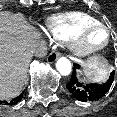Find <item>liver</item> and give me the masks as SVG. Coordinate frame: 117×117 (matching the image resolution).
I'll return each instance as SVG.
<instances>
[{
	"mask_svg": "<svg viewBox=\"0 0 117 117\" xmlns=\"http://www.w3.org/2000/svg\"><path fill=\"white\" fill-rule=\"evenodd\" d=\"M40 33L21 13L0 12V100L21 92Z\"/></svg>",
	"mask_w": 117,
	"mask_h": 117,
	"instance_id": "1",
	"label": "liver"
}]
</instances>
